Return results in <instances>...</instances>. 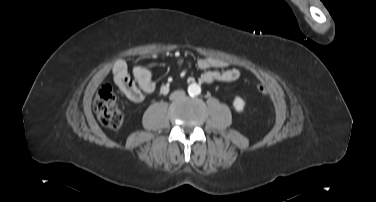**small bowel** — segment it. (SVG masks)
Masks as SVG:
<instances>
[{"label":"small bowel","mask_w":376,"mask_h":202,"mask_svg":"<svg viewBox=\"0 0 376 202\" xmlns=\"http://www.w3.org/2000/svg\"><path fill=\"white\" fill-rule=\"evenodd\" d=\"M197 66L203 71L201 79L207 84L233 82L239 79L240 71L225 59L204 56L197 60ZM113 81L125 97L139 103L144 93H152L156 84L151 71L143 66L135 67L131 72L125 60H117L112 68Z\"/></svg>","instance_id":"1"}]
</instances>
